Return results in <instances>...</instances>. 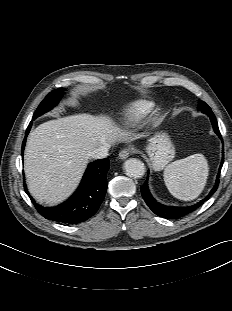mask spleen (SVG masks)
Here are the masks:
<instances>
[{
    "label": "spleen",
    "mask_w": 232,
    "mask_h": 311,
    "mask_svg": "<svg viewBox=\"0 0 232 311\" xmlns=\"http://www.w3.org/2000/svg\"><path fill=\"white\" fill-rule=\"evenodd\" d=\"M208 174V162L204 155L194 154L166 166L163 176L167 189L174 197L189 201L203 191Z\"/></svg>",
    "instance_id": "3e777b00"
}]
</instances>
